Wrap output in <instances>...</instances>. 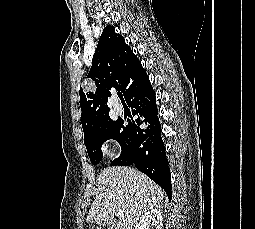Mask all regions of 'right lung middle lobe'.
<instances>
[{"mask_svg":"<svg viewBox=\"0 0 255 229\" xmlns=\"http://www.w3.org/2000/svg\"><path fill=\"white\" fill-rule=\"evenodd\" d=\"M108 139L118 141L122 148L121 155L111 162V166L118 165L122 159L131 155L132 142L129 138L127 127L123 126V121L121 120L113 121L108 119L96 129L91 138L84 142L93 165L101 161V146Z\"/></svg>","mask_w":255,"mask_h":229,"instance_id":"1","label":"right lung middle lobe"}]
</instances>
